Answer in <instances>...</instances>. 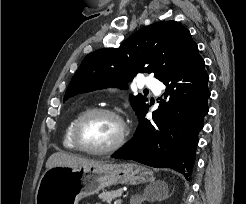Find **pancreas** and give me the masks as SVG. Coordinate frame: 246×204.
<instances>
[{
	"instance_id": "pancreas-1",
	"label": "pancreas",
	"mask_w": 246,
	"mask_h": 204,
	"mask_svg": "<svg viewBox=\"0 0 246 204\" xmlns=\"http://www.w3.org/2000/svg\"><path fill=\"white\" fill-rule=\"evenodd\" d=\"M121 195H122V189H118V190H115V191L103 192V193L99 194L98 197L102 201L110 203L113 199L121 197Z\"/></svg>"
}]
</instances>
